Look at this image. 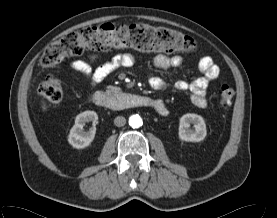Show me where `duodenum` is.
<instances>
[{
    "mask_svg": "<svg viewBox=\"0 0 277 218\" xmlns=\"http://www.w3.org/2000/svg\"><path fill=\"white\" fill-rule=\"evenodd\" d=\"M90 101L98 107L111 111H120L134 107H151L155 110H158V108L162 105L161 101L151 99L147 96L137 94H122L112 97L102 91L92 93L90 95ZM167 113L168 109L166 107L165 113L161 115H166Z\"/></svg>",
    "mask_w": 277,
    "mask_h": 218,
    "instance_id": "1",
    "label": "duodenum"
}]
</instances>
